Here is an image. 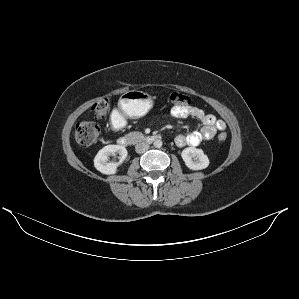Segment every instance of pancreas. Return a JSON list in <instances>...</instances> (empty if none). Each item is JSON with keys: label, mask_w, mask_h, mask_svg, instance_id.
I'll return each instance as SVG.
<instances>
[{"label": "pancreas", "mask_w": 299, "mask_h": 299, "mask_svg": "<svg viewBox=\"0 0 299 299\" xmlns=\"http://www.w3.org/2000/svg\"><path fill=\"white\" fill-rule=\"evenodd\" d=\"M135 141L141 140L144 138V135L141 132H132L129 134Z\"/></svg>", "instance_id": "cf45deb5"}]
</instances>
